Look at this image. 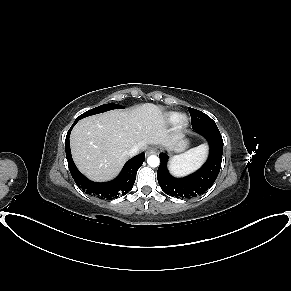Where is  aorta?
Listing matches in <instances>:
<instances>
[{
    "mask_svg": "<svg viewBox=\"0 0 291 291\" xmlns=\"http://www.w3.org/2000/svg\"><path fill=\"white\" fill-rule=\"evenodd\" d=\"M147 163L151 167H157L160 164V159H159V157H157L155 155H151L148 157Z\"/></svg>",
    "mask_w": 291,
    "mask_h": 291,
    "instance_id": "1",
    "label": "aorta"
}]
</instances>
